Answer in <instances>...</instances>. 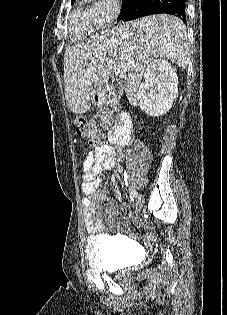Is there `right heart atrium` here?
Returning <instances> with one entry per match:
<instances>
[{"instance_id":"obj_1","label":"right heart atrium","mask_w":227,"mask_h":315,"mask_svg":"<svg viewBox=\"0 0 227 315\" xmlns=\"http://www.w3.org/2000/svg\"><path fill=\"white\" fill-rule=\"evenodd\" d=\"M120 10L119 0H93L90 5L92 18L98 29L111 25L119 15Z\"/></svg>"}]
</instances>
